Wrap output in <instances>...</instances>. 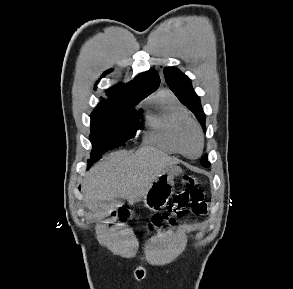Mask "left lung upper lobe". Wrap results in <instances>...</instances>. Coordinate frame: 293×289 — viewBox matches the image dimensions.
<instances>
[{
	"label": "left lung upper lobe",
	"instance_id": "1",
	"mask_svg": "<svg viewBox=\"0 0 293 289\" xmlns=\"http://www.w3.org/2000/svg\"><path fill=\"white\" fill-rule=\"evenodd\" d=\"M165 80L170 89L174 92L177 98L189 108L197 117L205 130L206 116L200 104L198 95L194 92L191 80L184 75L179 69L174 67H166L164 69ZM201 165L204 167L209 166L207 155L201 159Z\"/></svg>",
	"mask_w": 293,
	"mask_h": 289
}]
</instances>
